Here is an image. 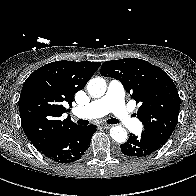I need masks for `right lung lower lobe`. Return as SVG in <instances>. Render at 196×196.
<instances>
[{
	"label": "right lung lower lobe",
	"instance_id": "1",
	"mask_svg": "<svg viewBox=\"0 0 196 196\" xmlns=\"http://www.w3.org/2000/svg\"><path fill=\"white\" fill-rule=\"evenodd\" d=\"M95 131L96 126L94 125H75L38 151L59 163L76 161L89 148L91 137Z\"/></svg>",
	"mask_w": 196,
	"mask_h": 196
}]
</instances>
